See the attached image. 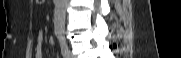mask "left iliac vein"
Listing matches in <instances>:
<instances>
[{"label":"left iliac vein","mask_w":181,"mask_h":58,"mask_svg":"<svg viewBox=\"0 0 181 58\" xmlns=\"http://www.w3.org/2000/svg\"><path fill=\"white\" fill-rule=\"evenodd\" d=\"M68 58H73V56H72V54H71V53L69 54Z\"/></svg>","instance_id":"left-iliac-vein-1"}]
</instances>
